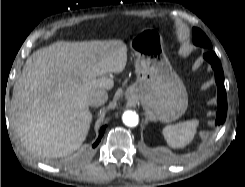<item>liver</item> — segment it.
<instances>
[{
    "instance_id": "liver-1",
    "label": "liver",
    "mask_w": 245,
    "mask_h": 187,
    "mask_svg": "<svg viewBox=\"0 0 245 187\" xmlns=\"http://www.w3.org/2000/svg\"><path fill=\"white\" fill-rule=\"evenodd\" d=\"M126 63L121 40L59 41L35 51L15 81L10 104L21 143L46 158L78 150L93 118L89 95L112 89L106 75L122 72Z\"/></svg>"
}]
</instances>
